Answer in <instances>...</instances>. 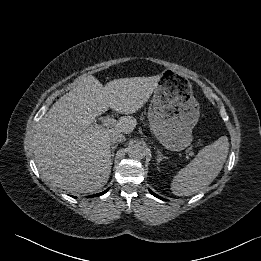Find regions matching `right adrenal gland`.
Masks as SVG:
<instances>
[{"mask_svg": "<svg viewBox=\"0 0 261 261\" xmlns=\"http://www.w3.org/2000/svg\"><path fill=\"white\" fill-rule=\"evenodd\" d=\"M116 147H117V144L111 146V156L112 157H114V151H115Z\"/></svg>", "mask_w": 261, "mask_h": 261, "instance_id": "obj_1", "label": "right adrenal gland"}]
</instances>
